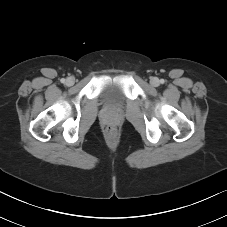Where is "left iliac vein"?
I'll use <instances>...</instances> for the list:
<instances>
[{
    "label": "left iliac vein",
    "instance_id": "left-iliac-vein-1",
    "mask_svg": "<svg viewBox=\"0 0 227 227\" xmlns=\"http://www.w3.org/2000/svg\"><path fill=\"white\" fill-rule=\"evenodd\" d=\"M150 83H151V85L152 86H158L159 85V79L158 78H156V77H152L151 79H150Z\"/></svg>",
    "mask_w": 227,
    "mask_h": 227
}]
</instances>
